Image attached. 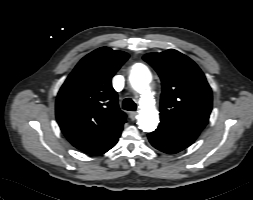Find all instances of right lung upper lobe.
Wrapping results in <instances>:
<instances>
[{"mask_svg":"<svg viewBox=\"0 0 253 200\" xmlns=\"http://www.w3.org/2000/svg\"><path fill=\"white\" fill-rule=\"evenodd\" d=\"M129 55L101 47L86 55L62 85L56 100L57 122L79 150L96 155L120 137L126 114L118 106L111 79Z\"/></svg>","mask_w":253,"mask_h":200,"instance_id":"obj_1","label":"right lung upper lobe"}]
</instances>
